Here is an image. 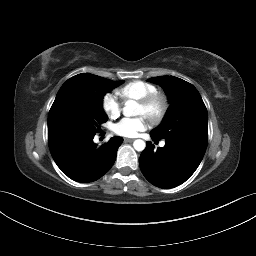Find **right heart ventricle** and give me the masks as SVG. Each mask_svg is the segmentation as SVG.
<instances>
[{
    "mask_svg": "<svg viewBox=\"0 0 256 256\" xmlns=\"http://www.w3.org/2000/svg\"><path fill=\"white\" fill-rule=\"evenodd\" d=\"M157 91L158 89L155 85L145 81L136 80L129 82L117 89L116 94L119 95L124 101H138Z\"/></svg>",
    "mask_w": 256,
    "mask_h": 256,
    "instance_id": "1",
    "label": "right heart ventricle"
}]
</instances>
